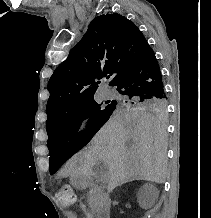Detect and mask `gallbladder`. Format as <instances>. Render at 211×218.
<instances>
[{"instance_id": "gallbladder-1", "label": "gallbladder", "mask_w": 211, "mask_h": 218, "mask_svg": "<svg viewBox=\"0 0 211 218\" xmlns=\"http://www.w3.org/2000/svg\"><path fill=\"white\" fill-rule=\"evenodd\" d=\"M92 170L95 171L96 175H99L100 171H104L105 170V167L104 166H93Z\"/></svg>"}]
</instances>
